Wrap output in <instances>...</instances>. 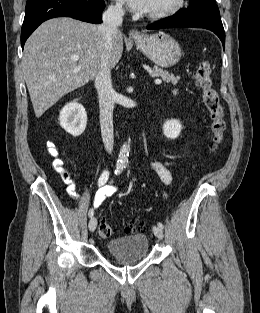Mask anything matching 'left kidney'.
Returning <instances> with one entry per match:
<instances>
[{"label":"left kidney","instance_id":"1","mask_svg":"<svg viewBox=\"0 0 260 313\" xmlns=\"http://www.w3.org/2000/svg\"><path fill=\"white\" fill-rule=\"evenodd\" d=\"M182 125L178 120H167L163 124V133L169 139H175L180 135Z\"/></svg>","mask_w":260,"mask_h":313}]
</instances>
